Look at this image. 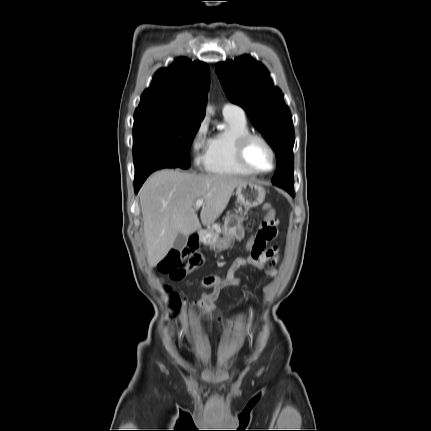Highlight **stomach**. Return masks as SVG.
Listing matches in <instances>:
<instances>
[{
  "instance_id": "obj_1",
  "label": "stomach",
  "mask_w": 431,
  "mask_h": 431,
  "mask_svg": "<svg viewBox=\"0 0 431 431\" xmlns=\"http://www.w3.org/2000/svg\"><path fill=\"white\" fill-rule=\"evenodd\" d=\"M265 194L262 186L250 181L240 184L236 189L237 202L246 210L262 204ZM243 220L242 214H229L224 222L223 237L220 238L213 231H208L203 242L218 250L228 249L234 240H241L244 237Z\"/></svg>"
}]
</instances>
